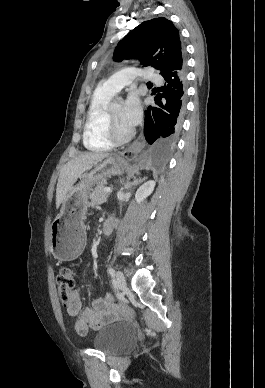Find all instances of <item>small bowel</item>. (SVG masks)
Wrapping results in <instances>:
<instances>
[{
    "instance_id": "c3829d8e",
    "label": "small bowel",
    "mask_w": 265,
    "mask_h": 388,
    "mask_svg": "<svg viewBox=\"0 0 265 388\" xmlns=\"http://www.w3.org/2000/svg\"><path fill=\"white\" fill-rule=\"evenodd\" d=\"M69 316H78L75 330L79 334H86L89 329H99L106 323L114 320L117 309L114 304H108L105 299L97 298L92 305L82 309V302L78 291H72L69 302L66 304Z\"/></svg>"
}]
</instances>
